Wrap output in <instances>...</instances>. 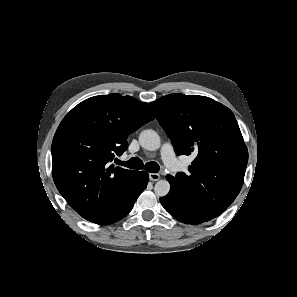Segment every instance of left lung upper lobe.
<instances>
[{
  "label": "left lung upper lobe",
  "instance_id": "obj_1",
  "mask_svg": "<svg viewBox=\"0 0 297 297\" xmlns=\"http://www.w3.org/2000/svg\"><path fill=\"white\" fill-rule=\"evenodd\" d=\"M150 104L177 155H196L187 174L168 175L171 187L219 216L240 192L248 162L233 112L198 95L170 94Z\"/></svg>",
  "mask_w": 297,
  "mask_h": 297
}]
</instances>
